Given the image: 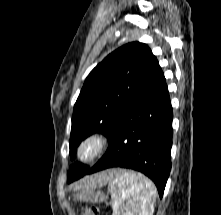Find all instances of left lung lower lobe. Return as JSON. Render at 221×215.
<instances>
[{
  "mask_svg": "<svg viewBox=\"0 0 221 215\" xmlns=\"http://www.w3.org/2000/svg\"><path fill=\"white\" fill-rule=\"evenodd\" d=\"M172 117L166 79L157 61L121 110L107 152L86 174L112 167L137 170L155 183L162 198L171 170Z\"/></svg>",
  "mask_w": 221,
  "mask_h": 215,
  "instance_id": "1",
  "label": "left lung lower lobe"
}]
</instances>
